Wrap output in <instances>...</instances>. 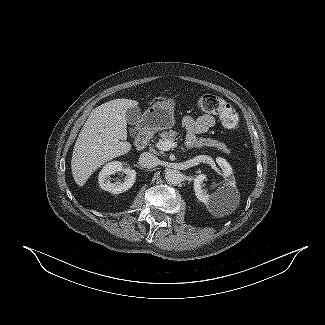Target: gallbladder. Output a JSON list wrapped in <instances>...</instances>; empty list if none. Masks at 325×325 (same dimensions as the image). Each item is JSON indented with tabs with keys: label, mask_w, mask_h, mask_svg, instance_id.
Here are the masks:
<instances>
[{
	"label": "gallbladder",
	"mask_w": 325,
	"mask_h": 325,
	"mask_svg": "<svg viewBox=\"0 0 325 325\" xmlns=\"http://www.w3.org/2000/svg\"><path fill=\"white\" fill-rule=\"evenodd\" d=\"M126 119H127V122L129 124L136 125L137 122L140 119V109H139V107L135 106V107L129 108L127 110V113H126ZM132 132H133V134H135L136 129H133Z\"/></svg>",
	"instance_id": "gallbladder-1"
}]
</instances>
